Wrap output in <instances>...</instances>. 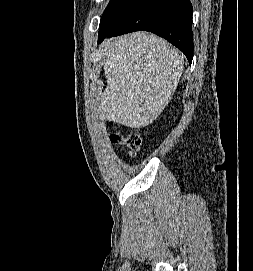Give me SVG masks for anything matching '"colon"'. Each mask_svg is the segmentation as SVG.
Returning <instances> with one entry per match:
<instances>
[{
    "instance_id": "colon-1",
    "label": "colon",
    "mask_w": 253,
    "mask_h": 271,
    "mask_svg": "<svg viewBox=\"0 0 253 271\" xmlns=\"http://www.w3.org/2000/svg\"><path fill=\"white\" fill-rule=\"evenodd\" d=\"M110 142L113 145L128 149L131 154H136L141 147L142 139L137 134H122L118 132L110 136Z\"/></svg>"
}]
</instances>
